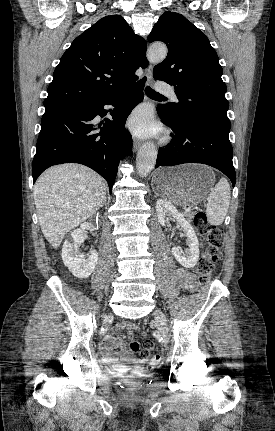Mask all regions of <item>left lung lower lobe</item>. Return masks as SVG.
<instances>
[{"instance_id":"1","label":"left lung lower lobe","mask_w":275,"mask_h":431,"mask_svg":"<svg viewBox=\"0 0 275 431\" xmlns=\"http://www.w3.org/2000/svg\"><path fill=\"white\" fill-rule=\"evenodd\" d=\"M163 122L175 133L171 142L161 148L157 156V167L183 163H203L222 171L232 182H236L232 163L230 129L197 123H178L166 117L157 107Z\"/></svg>"}]
</instances>
